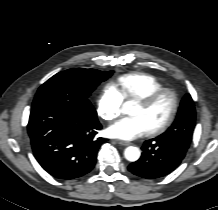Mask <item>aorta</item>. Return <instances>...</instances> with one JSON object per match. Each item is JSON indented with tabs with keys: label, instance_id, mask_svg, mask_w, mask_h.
<instances>
[{
	"label": "aorta",
	"instance_id": "762f6f07",
	"mask_svg": "<svg viewBox=\"0 0 218 210\" xmlns=\"http://www.w3.org/2000/svg\"><path fill=\"white\" fill-rule=\"evenodd\" d=\"M135 104L136 102L134 100L126 101L122 107L123 113L130 114L131 109L133 108ZM140 155H141V152L139 148L134 147V146H129L124 151L125 158L130 162L137 161L140 158Z\"/></svg>",
	"mask_w": 218,
	"mask_h": 210
}]
</instances>
